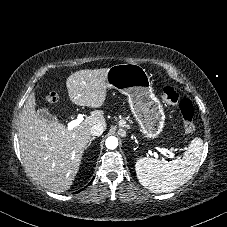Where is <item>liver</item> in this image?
Returning <instances> with one entry per match:
<instances>
[{"instance_id":"1","label":"liver","mask_w":227,"mask_h":227,"mask_svg":"<svg viewBox=\"0 0 227 227\" xmlns=\"http://www.w3.org/2000/svg\"><path fill=\"white\" fill-rule=\"evenodd\" d=\"M107 72L108 68L85 69L67 78L72 103L96 109L72 130L57 121L39 118L34 92L24 104L18 130L22 161L32 179L49 191L61 193L71 187L90 142L91 127H106L99 108L107 97Z\"/></svg>"}]
</instances>
